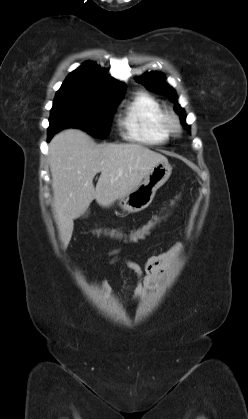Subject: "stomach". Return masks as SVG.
Returning a JSON list of instances; mask_svg holds the SVG:
<instances>
[{
	"label": "stomach",
	"mask_w": 248,
	"mask_h": 419,
	"mask_svg": "<svg viewBox=\"0 0 248 419\" xmlns=\"http://www.w3.org/2000/svg\"><path fill=\"white\" fill-rule=\"evenodd\" d=\"M172 167L168 161L155 164L144 180L129 193L119 198L120 208L128 213H136L147 208L156 191L168 180Z\"/></svg>",
	"instance_id": "obj_1"
}]
</instances>
